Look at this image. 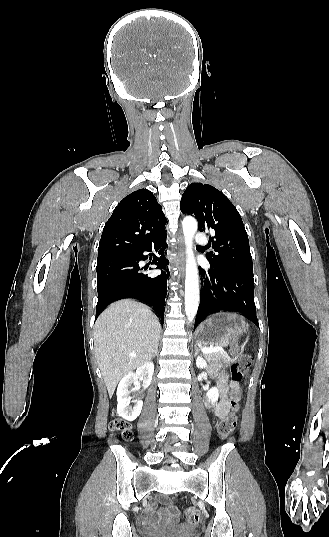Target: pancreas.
Returning <instances> with one entry per match:
<instances>
[{
	"instance_id": "obj_1",
	"label": "pancreas",
	"mask_w": 329,
	"mask_h": 537,
	"mask_svg": "<svg viewBox=\"0 0 329 537\" xmlns=\"http://www.w3.org/2000/svg\"><path fill=\"white\" fill-rule=\"evenodd\" d=\"M204 357L209 362L223 361L224 363L228 364L231 361L230 357L228 355H226V353H224L223 351H217V352H213V353H205Z\"/></svg>"
}]
</instances>
